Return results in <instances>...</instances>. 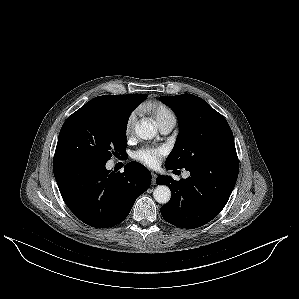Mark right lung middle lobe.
I'll list each match as a JSON object with an SVG mask.
<instances>
[{"label": "right lung middle lobe", "instance_id": "1", "mask_svg": "<svg viewBox=\"0 0 299 299\" xmlns=\"http://www.w3.org/2000/svg\"><path fill=\"white\" fill-rule=\"evenodd\" d=\"M146 97L143 94L141 101ZM137 105L88 102L64 122L55 153H72L101 162H107L112 154L125 155L127 122Z\"/></svg>", "mask_w": 299, "mask_h": 299}]
</instances>
